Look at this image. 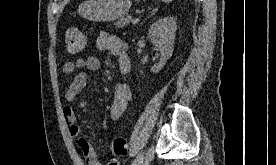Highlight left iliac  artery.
<instances>
[{"label": "left iliac artery", "mask_w": 276, "mask_h": 165, "mask_svg": "<svg viewBox=\"0 0 276 165\" xmlns=\"http://www.w3.org/2000/svg\"><path fill=\"white\" fill-rule=\"evenodd\" d=\"M143 157H144V153L143 152L139 153V155L136 157V159L133 161L131 165H139Z\"/></svg>", "instance_id": "left-iliac-artery-1"}]
</instances>
